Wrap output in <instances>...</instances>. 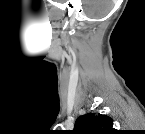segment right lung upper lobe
Returning <instances> with one entry per match:
<instances>
[{
  "label": "right lung upper lobe",
  "instance_id": "right-lung-upper-lobe-1",
  "mask_svg": "<svg viewBox=\"0 0 145 134\" xmlns=\"http://www.w3.org/2000/svg\"><path fill=\"white\" fill-rule=\"evenodd\" d=\"M74 134H115L113 121L107 115L88 113L80 116L73 130Z\"/></svg>",
  "mask_w": 145,
  "mask_h": 134
}]
</instances>
